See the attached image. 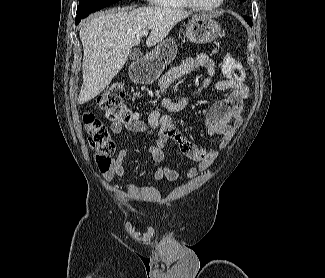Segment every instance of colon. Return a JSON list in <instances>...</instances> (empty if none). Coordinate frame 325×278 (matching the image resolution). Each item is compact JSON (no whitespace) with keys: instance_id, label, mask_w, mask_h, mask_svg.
I'll return each mask as SVG.
<instances>
[{"instance_id":"1","label":"colon","mask_w":325,"mask_h":278,"mask_svg":"<svg viewBox=\"0 0 325 278\" xmlns=\"http://www.w3.org/2000/svg\"><path fill=\"white\" fill-rule=\"evenodd\" d=\"M223 71L228 80L240 83L245 74L241 63L231 54L224 58ZM97 105L112 122L129 123L137 120V114L126 104V91L121 85H112L97 97ZM83 123L89 136V143L95 151V162L99 170L106 171L112 163L116 145L108 128L92 113L83 115Z\"/></svg>"}]
</instances>
